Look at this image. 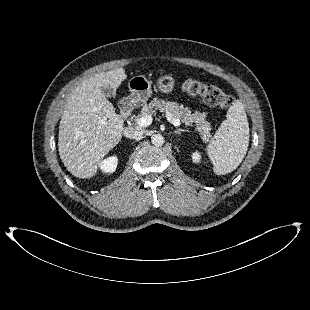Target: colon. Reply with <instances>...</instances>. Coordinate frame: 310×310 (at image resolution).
<instances>
[{"label":"colon","mask_w":310,"mask_h":310,"mask_svg":"<svg viewBox=\"0 0 310 310\" xmlns=\"http://www.w3.org/2000/svg\"><path fill=\"white\" fill-rule=\"evenodd\" d=\"M182 89L188 96L200 97L209 105L222 109L230 107L233 103V97L224 93L220 88L195 79H187Z\"/></svg>","instance_id":"5ec220e1"}]
</instances>
